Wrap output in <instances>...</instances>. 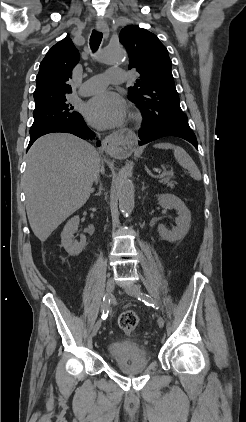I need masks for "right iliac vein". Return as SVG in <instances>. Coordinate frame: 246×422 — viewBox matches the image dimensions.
<instances>
[{"label":"right iliac vein","mask_w":246,"mask_h":422,"mask_svg":"<svg viewBox=\"0 0 246 422\" xmlns=\"http://www.w3.org/2000/svg\"><path fill=\"white\" fill-rule=\"evenodd\" d=\"M114 288H115V282L112 278H109L108 281H107V291H108V293L111 294L114 291ZM100 326H101V321L99 320V321L96 322V324L93 327V330H92L93 336H95L97 334L98 330L100 329Z\"/></svg>","instance_id":"right-iliac-vein-1"}]
</instances>
